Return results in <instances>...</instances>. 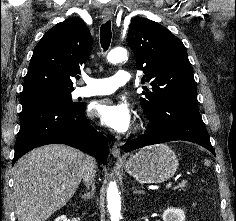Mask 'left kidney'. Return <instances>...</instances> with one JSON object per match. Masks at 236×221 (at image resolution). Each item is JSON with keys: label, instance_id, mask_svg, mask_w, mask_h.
Returning <instances> with one entry per match:
<instances>
[{"label": "left kidney", "instance_id": "obj_1", "mask_svg": "<svg viewBox=\"0 0 236 221\" xmlns=\"http://www.w3.org/2000/svg\"><path fill=\"white\" fill-rule=\"evenodd\" d=\"M163 221H185V212L179 208L170 207L164 210Z\"/></svg>", "mask_w": 236, "mask_h": 221}]
</instances>
